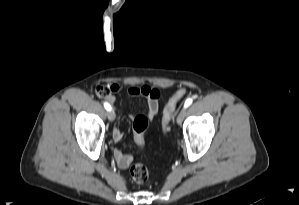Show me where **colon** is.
<instances>
[{
    "instance_id": "colon-1",
    "label": "colon",
    "mask_w": 299,
    "mask_h": 205,
    "mask_svg": "<svg viewBox=\"0 0 299 205\" xmlns=\"http://www.w3.org/2000/svg\"><path fill=\"white\" fill-rule=\"evenodd\" d=\"M96 95L99 98L110 100L112 93L114 92L113 87L109 85H100L96 88ZM187 90L185 88L179 89L168 101L162 116V129L164 133L170 130L169 123L174 115L178 102L186 95ZM148 126V119L145 115L139 114L133 119V130L134 139L140 148L144 147V132ZM131 179L138 184H142L147 181L149 173L147 168L136 163L131 166L129 171Z\"/></svg>"
}]
</instances>
